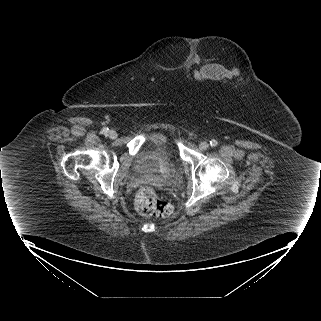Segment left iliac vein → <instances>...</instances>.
<instances>
[{"instance_id":"obj_1","label":"left iliac vein","mask_w":321,"mask_h":321,"mask_svg":"<svg viewBox=\"0 0 321 321\" xmlns=\"http://www.w3.org/2000/svg\"><path fill=\"white\" fill-rule=\"evenodd\" d=\"M208 147H209V143L206 142V141H202V142L199 144V148H200L201 150H206Z\"/></svg>"}]
</instances>
